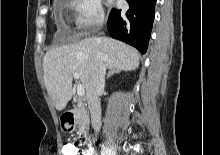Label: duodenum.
<instances>
[{"label":"duodenum","mask_w":220,"mask_h":155,"mask_svg":"<svg viewBox=\"0 0 220 155\" xmlns=\"http://www.w3.org/2000/svg\"><path fill=\"white\" fill-rule=\"evenodd\" d=\"M75 114L76 112L74 110H68L63 115V121L68 125L73 124L75 120ZM84 139L86 140L85 153L86 155H92L93 153L91 150L90 139L88 137H84Z\"/></svg>","instance_id":"duodenum-1"}]
</instances>
